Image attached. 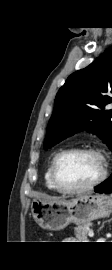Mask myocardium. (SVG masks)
<instances>
[{"instance_id":"myocardium-1","label":"myocardium","mask_w":112,"mask_h":270,"mask_svg":"<svg viewBox=\"0 0 112 270\" xmlns=\"http://www.w3.org/2000/svg\"><path fill=\"white\" fill-rule=\"evenodd\" d=\"M71 154H91L96 157H98L101 161V171L99 176L90 184L82 186V187H67L65 186L59 179L58 176V166L60 161ZM108 174V168H107V163L105 157L102 155L101 152H99L95 148L91 147H74V148H68L65 150H62L58 154L55 155L53 158L52 164H51V169H50V178L52 181V184L54 187L57 189V191L65 194H77V193H84L87 191H90L97 186H99L107 177Z\"/></svg>"}]
</instances>
